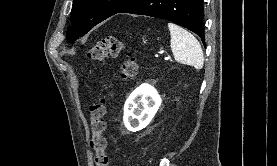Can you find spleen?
Here are the masks:
<instances>
[{
    "label": "spleen",
    "instance_id": "spleen-1",
    "mask_svg": "<svg viewBox=\"0 0 277 166\" xmlns=\"http://www.w3.org/2000/svg\"><path fill=\"white\" fill-rule=\"evenodd\" d=\"M171 35L170 47L177 62L193 66L200 70L204 64V56L198 40L184 28L168 23Z\"/></svg>",
    "mask_w": 277,
    "mask_h": 166
}]
</instances>
